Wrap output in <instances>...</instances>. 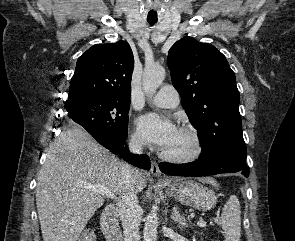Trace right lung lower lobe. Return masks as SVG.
<instances>
[{"instance_id": "obj_1", "label": "right lung lower lobe", "mask_w": 295, "mask_h": 241, "mask_svg": "<svg viewBox=\"0 0 295 241\" xmlns=\"http://www.w3.org/2000/svg\"><path fill=\"white\" fill-rule=\"evenodd\" d=\"M93 138L109 149L112 153L121 152L124 159L136 167L148 170L150 168V159L147 155H131L127 148H124L126 137H115L108 133L87 129Z\"/></svg>"}]
</instances>
